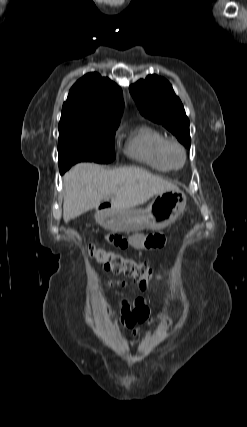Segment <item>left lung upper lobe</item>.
<instances>
[{
    "instance_id": "left-lung-upper-lobe-1",
    "label": "left lung upper lobe",
    "mask_w": 247,
    "mask_h": 427,
    "mask_svg": "<svg viewBox=\"0 0 247 427\" xmlns=\"http://www.w3.org/2000/svg\"><path fill=\"white\" fill-rule=\"evenodd\" d=\"M130 92L141 114L162 124L190 148L189 120L171 84L163 77L148 75L130 86Z\"/></svg>"
}]
</instances>
